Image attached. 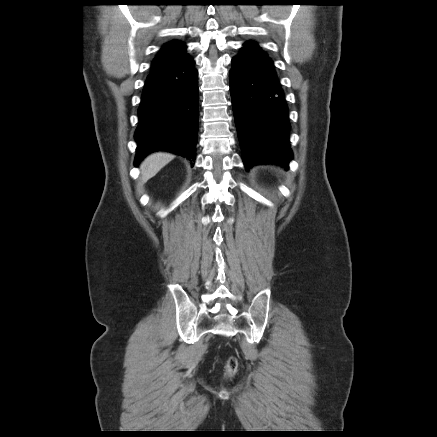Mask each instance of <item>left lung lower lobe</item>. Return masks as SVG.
Returning <instances> with one entry per match:
<instances>
[{"label":"left lung lower lobe","mask_w":437,"mask_h":437,"mask_svg":"<svg viewBox=\"0 0 437 437\" xmlns=\"http://www.w3.org/2000/svg\"><path fill=\"white\" fill-rule=\"evenodd\" d=\"M230 93L245 168L292 159L288 107L273 61L245 43L232 59Z\"/></svg>","instance_id":"1"}]
</instances>
